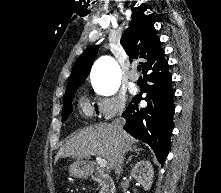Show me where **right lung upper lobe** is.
Returning a JSON list of instances; mask_svg holds the SVG:
<instances>
[{
	"instance_id": "1",
	"label": "right lung upper lobe",
	"mask_w": 221,
	"mask_h": 193,
	"mask_svg": "<svg viewBox=\"0 0 221 193\" xmlns=\"http://www.w3.org/2000/svg\"><path fill=\"white\" fill-rule=\"evenodd\" d=\"M121 45L130 57V61L141 59L142 72L145 76L152 70L167 65L164 50L154 29L150 15L135 13L129 28L121 37ZM98 46L89 47L75 62L67 88L81 85L91 70Z\"/></svg>"
}]
</instances>
